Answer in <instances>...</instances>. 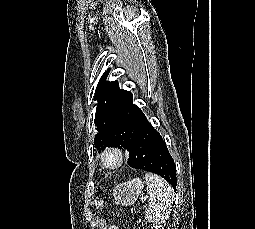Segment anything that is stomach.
I'll use <instances>...</instances> for the list:
<instances>
[{"label":"stomach","instance_id":"obj_1","mask_svg":"<svg viewBox=\"0 0 255 229\" xmlns=\"http://www.w3.org/2000/svg\"><path fill=\"white\" fill-rule=\"evenodd\" d=\"M143 188L144 182L140 178L118 184L113 192L115 203L123 206L134 204Z\"/></svg>","mask_w":255,"mask_h":229}]
</instances>
